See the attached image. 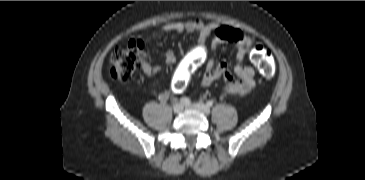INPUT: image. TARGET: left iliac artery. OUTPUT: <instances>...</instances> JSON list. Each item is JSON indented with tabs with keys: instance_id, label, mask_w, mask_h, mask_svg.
<instances>
[{
	"instance_id": "44dca946",
	"label": "left iliac artery",
	"mask_w": 365,
	"mask_h": 180,
	"mask_svg": "<svg viewBox=\"0 0 365 180\" xmlns=\"http://www.w3.org/2000/svg\"><path fill=\"white\" fill-rule=\"evenodd\" d=\"M206 104H207L208 107H212L213 106V101L212 100H209V101H207Z\"/></svg>"
}]
</instances>
